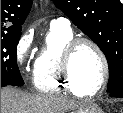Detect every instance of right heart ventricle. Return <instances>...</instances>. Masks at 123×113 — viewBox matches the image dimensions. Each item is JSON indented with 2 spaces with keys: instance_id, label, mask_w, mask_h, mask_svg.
<instances>
[{
  "instance_id": "e07e8e85",
  "label": "right heart ventricle",
  "mask_w": 123,
  "mask_h": 113,
  "mask_svg": "<svg viewBox=\"0 0 123 113\" xmlns=\"http://www.w3.org/2000/svg\"><path fill=\"white\" fill-rule=\"evenodd\" d=\"M72 38L73 32L70 28L50 27L33 66V86L37 91L57 93L66 90L82 96L68 86L61 72L63 50Z\"/></svg>"
}]
</instances>
